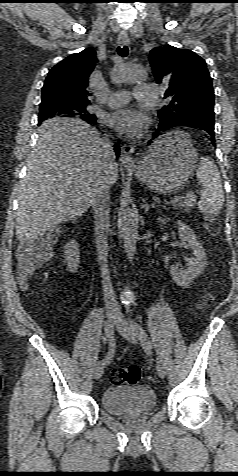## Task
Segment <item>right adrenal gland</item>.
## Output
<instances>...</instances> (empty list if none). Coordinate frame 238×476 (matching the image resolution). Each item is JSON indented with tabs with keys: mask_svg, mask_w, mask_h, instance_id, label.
I'll list each match as a JSON object with an SVG mask.
<instances>
[{
	"mask_svg": "<svg viewBox=\"0 0 238 476\" xmlns=\"http://www.w3.org/2000/svg\"><path fill=\"white\" fill-rule=\"evenodd\" d=\"M108 200H109L108 193H105L101 198V202L105 205L107 204Z\"/></svg>",
	"mask_w": 238,
	"mask_h": 476,
	"instance_id": "1",
	"label": "right adrenal gland"
}]
</instances>
